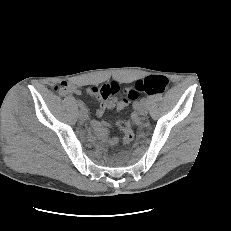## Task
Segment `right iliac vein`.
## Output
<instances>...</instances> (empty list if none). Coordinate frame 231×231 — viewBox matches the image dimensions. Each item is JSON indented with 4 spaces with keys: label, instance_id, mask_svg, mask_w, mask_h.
Listing matches in <instances>:
<instances>
[{
    "label": "right iliac vein",
    "instance_id": "obj_1",
    "mask_svg": "<svg viewBox=\"0 0 231 231\" xmlns=\"http://www.w3.org/2000/svg\"><path fill=\"white\" fill-rule=\"evenodd\" d=\"M79 117L82 120H87L88 119V111L85 107H82L79 111Z\"/></svg>",
    "mask_w": 231,
    "mask_h": 231
}]
</instances>
